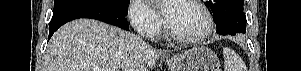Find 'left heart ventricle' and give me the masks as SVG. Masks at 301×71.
I'll list each match as a JSON object with an SVG mask.
<instances>
[{
    "label": "left heart ventricle",
    "mask_w": 301,
    "mask_h": 71,
    "mask_svg": "<svg viewBox=\"0 0 301 71\" xmlns=\"http://www.w3.org/2000/svg\"><path fill=\"white\" fill-rule=\"evenodd\" d=\"M170 27L183 36L199 35L205 27V18L194 6L177 1L173 6L171 17L167 19Z\"/></svg>",
    "instance_id": "b2bd125f"
}]
</instances>
